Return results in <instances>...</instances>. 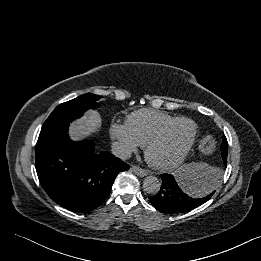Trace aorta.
<instances>
[{"label": "aorta", "instance_id": "obj_1", "mask_svg": "<svg viewBox=\"0 0 261 261\" xmlns=\"http://www.w3.org/2000/svg\"><path fill=\"white\" fill-rule=\"evenodd\" d=\"M161 182L155 176H148L144 179L143 188L148 194H157L160 190Z\"/></svg>", "mask_w": 261, "mask_h": 261}]
</instances>
